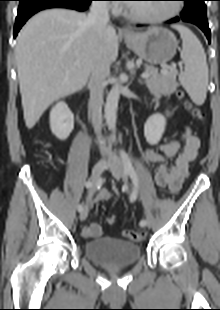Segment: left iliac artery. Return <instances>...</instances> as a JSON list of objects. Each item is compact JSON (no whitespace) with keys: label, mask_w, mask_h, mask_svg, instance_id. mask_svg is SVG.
I'll use <instances>...</instances> for the list:
<instances>
[{"label":"left iliac artery","mask_w":220,"mask_h":310,"mask_svg":"<svg viewBox=\"0 0 220 310\" xmlns=\"http://www.w3.org/2000/svg\"><path fill=\"white\" fill-rule=\"evenodd\" d=\"M120 156L122 159V163L124 165V169L126 174H128L133 182L134 185V191L130 196V202H134L137 199V190H138V177L137 174L134 170V167L132 165L131 159L129 158L128 154L125 152V150L121 149L120 150ZM145 225V220L140 221V226Z\"/></svg>","instance_id":"left-iliac-artery-1"}]
</instances>
